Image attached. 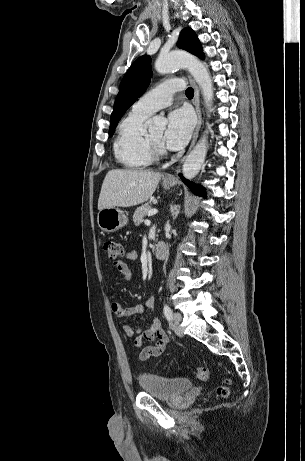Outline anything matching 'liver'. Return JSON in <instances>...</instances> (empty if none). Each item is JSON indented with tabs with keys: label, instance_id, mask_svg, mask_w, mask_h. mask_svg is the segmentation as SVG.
<instances>
[{
	"label": "liver",
	"instance_id": "1",
	"mask_svg": "<svg viewBox=\"0 0 305 461\" xmlns=\"http://www.w3.org/2000/svg\"><path fill=\"white\" fill-rule=\"evenodd\" d=\"M162 175L149 170H110L103 181L98 210L131 207L146 202L154 193Z\"/></svg>",
	"mask_w": 305,
	"mask_h": 461
}]
</instances>
